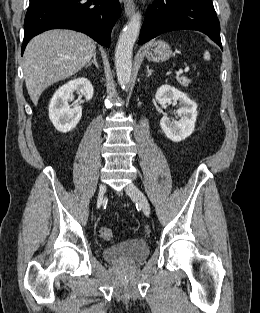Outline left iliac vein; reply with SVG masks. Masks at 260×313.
Wrapping results in <instances>:
<instances>
[{
	"instance_id": "left-iliac-vein-1",
	"label": "left iliac vein",
	"mask_w": 260,
	"mask_h": 313,
	"mask_svg": "<svg viewBox=\"0 0 260 313\" xmlns=\"http://www.w3.org/2000/svg\"><path fill=\"white\" fill-rule=\"evenodd\" d=\"M126 193L128 196L135 202L139 204L142 208V211L146 216L150 215V205L145 197V195L140 191V189L133 183H130L125 188Z\"/></svg>"
}]
</instances>
